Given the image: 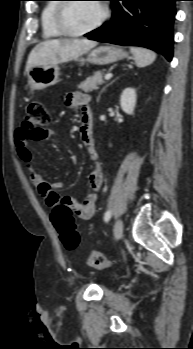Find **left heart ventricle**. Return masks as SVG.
<instances>
[{
  "label": "left heart ventricle",
  "instance_id": "obj_1",
  "mask_svg": "<svg viewBox=\"0 0 193 349\" xmlns=\"http://www.w3.org/2000/svg\"><path fill=\"white\" fill-rule=\"evenodd\" d=\"M101 13V5L96 2L72 3L65 11V23L69 29L80 31L93 25Z\"/></svg>",
  "mask_w": 193,
  "mask_h": 349
}]
</instances>
